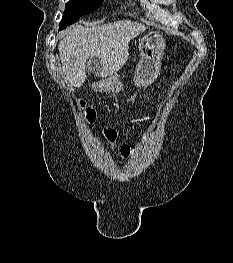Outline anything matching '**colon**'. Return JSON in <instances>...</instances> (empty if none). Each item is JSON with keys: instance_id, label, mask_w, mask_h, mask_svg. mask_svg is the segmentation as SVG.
Returning <instances> with one entry per match:
<instances>
[{"instance_id": "obj_1", "label": "colon", "mask_w": 233, "mask_h": 263, "mask_svg": "<svg viewBox=\"0 0 233 263\" xmlns=\"http://www.w3.org/2000/svg\"><path fill=\"white\" fill-rule=\"evenodd\" d=\"M87 118L90 122L95 120V113L92 109L88 108L86 110ZM103 136L106 139L109 147L113 150H116L123 158L129 157L132 153V149L128 145H118L116 142L117 134L116 131L112 128H104L102 130Z\"/></svg>"}]
</instances>
